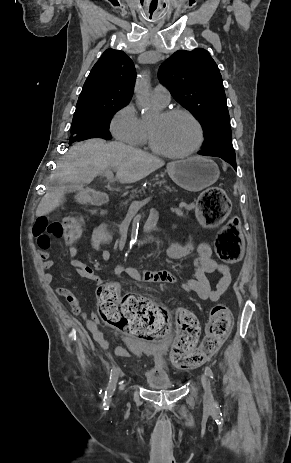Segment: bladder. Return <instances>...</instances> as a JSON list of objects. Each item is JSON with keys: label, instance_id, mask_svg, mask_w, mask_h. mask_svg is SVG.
Returning <instances> with one entry per match:
<instances>
[{"label": "bladder", "instance_id": "31cf9c89", "mask_svg": "<svg viewBox=\"0 0 291 463\" xmlns=\"http://www.w3.org/2000/svg\"><path fill=\"white\" fill-rule=\"evenodd\" d=\"M125 347L132 356L148 355L151 358L153 366L151 370L145 373L144 378L149 388L165 389L173 388L180 385V381L171 379L166 370V361L163 354L158 352H150L149 346L140 343L134 339H126Z\"/></svg>", "mask_w": 291, "mask_h": 463}]
</instances>
